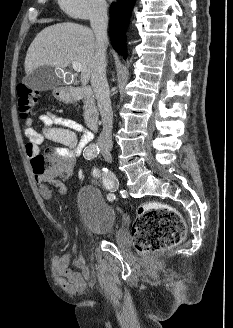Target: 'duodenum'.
<instances>
[{"mask_svg":"<svg viewBox=\"0 0 233 328\" xmlns=\"http://www.w3.org/2000/svg\"><path fill=\"white\" fill-rule=\"evenodd\" d=\"M60 97L66 102L85 100L88 103V107L84 112L86 123L92 131H96L98 129V112L93 103V90L89 86L63 88L60 91Z\"/></svg>","mask_w":233,"mask_h":328,"instance_id":"410a0bca","label":"duodenum"}]
</instances>
